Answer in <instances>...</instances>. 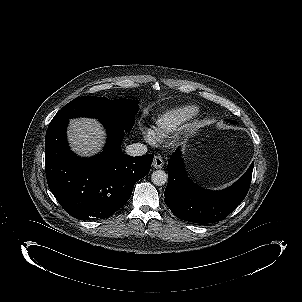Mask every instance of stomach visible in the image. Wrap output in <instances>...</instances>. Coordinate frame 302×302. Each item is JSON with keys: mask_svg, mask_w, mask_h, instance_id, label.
Segmentation results:
<instances>
[{"mask_svg": "<svg viewBox=\"0 0 302 302\" xmlns=\"http://www.w3.org/2000/svg\"><path fill=\"white\" fill-rule=\"evenodd\" d=\"M195 133H196L195 129H192L191 132H190L191 135H194Z\"/></svg>", "mask_w": 302, "mask_h": 302, "instance_id": "0dacf381", "label": "stomach"}]
</instances>
